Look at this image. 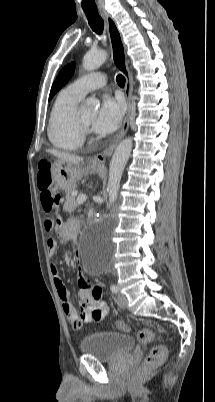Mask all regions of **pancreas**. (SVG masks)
<instances>
[{
  "mask_svg": "<svg viewBox=\"0 0 215 402\" xmlns=\"http://www.w3.org/2000/svg\"><path fill=\"white\" fill-rule=\"evenodd\" d=\"M74 192L75 187L66 190V200L63 209L67 212H73L78 206L75 196L73 195Z\"/></svg>",
  "mask_w": 215,
  "mask_h": 402,
  "instance_id": "pancreas-1",
  "label": "pancreas"
}]
</instances>
